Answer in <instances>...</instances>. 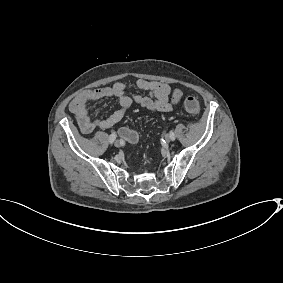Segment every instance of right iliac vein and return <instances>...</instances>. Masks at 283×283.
<instances>
[{
	"label": "right iliac vein",
	"mask_w": 283,
	"mask_h": 283,
	"mask_svg": "<svg viewBox=\"0 0 283 283\" xmlns=\"http://www.w3.org/2000/svg\"><path fill=\"white\" fill-rule=\"evenodd\" d=\"M115 147L119 148L121 146V142L119 140H116L114 142Z\"/></svg>",
	"instance_id": "right-iliac-vein-1"
}]
</instances>
